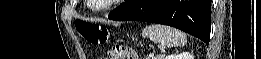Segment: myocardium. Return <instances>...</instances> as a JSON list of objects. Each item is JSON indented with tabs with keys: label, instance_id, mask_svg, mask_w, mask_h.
Wrapping results in <instances>:
<instances>
[{
	"label": "myocardium",
	"instance_id": "obj_1",
	"mask_svg": "<svg viewBox=\"0 0 261 59\" xmlns=\"http://www.w3.org/2000/svg\"><path fill=\"white\" fill-rule=\"evenodd\" d=\"M119 0H105L104 3L96 6L97 10H107L109 9L114 3L118 2Z\"/></svg>",
	"mask_w": 261,
	"mask_h": 59
}]
</instances>
